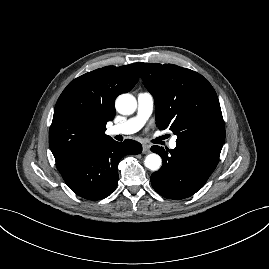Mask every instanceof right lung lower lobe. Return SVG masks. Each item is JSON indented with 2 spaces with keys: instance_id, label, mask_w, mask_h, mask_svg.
<instances>
[{
  "instance_id": "obj_1",
  "label": "right lung lower lobe",
  "mask_w": 269,
  "mask_h": 269,
  "mask_svg": "<svg viewBox=\"0 0 269 269\" xmlns=\"http://www.w3.org/2000/svg\"><path fill=\"white\" fill-rule=\"evenodd\" d=\"M142 152L140 143L127 139L118 143L113 139L93 144L63 160L56 167L69 188L88 200L109 196L118 185L117 165L127 154Z\"/></svg>"
}]
</instances>
